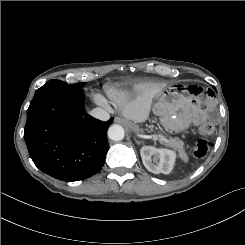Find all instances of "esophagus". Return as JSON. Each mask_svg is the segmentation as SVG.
I'll list each match as a JSON object with an SVG mask.
<instances>
[{"label":"esophagus","instance_id":"esophagus-1","mask_svg":"<svg viewBox=\"0 0 245 245\" xmlns=\"http://www.w3.org/2000/svg\"><path fill=\"white\" fill-rule=\"evenodd\" d=\"M121 121H122L121 118H119V117H116V118H115V122H121Z\"/></svg>","mask_w":245,"mask_h":245}]
</instances>
